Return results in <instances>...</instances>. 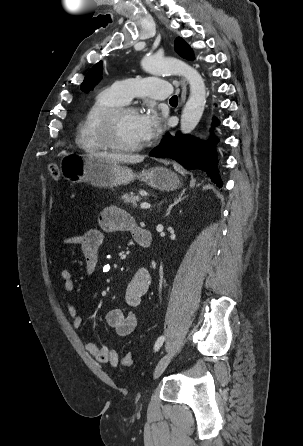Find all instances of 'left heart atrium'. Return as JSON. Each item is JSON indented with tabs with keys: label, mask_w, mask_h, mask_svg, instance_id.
<instances>
[{
	"label": "left heart atrium",
	"mask_w": 303,
	"mask_h": 446,
	"mask_svg": "<svg viewBox=\"0 0 303 446\" xmlns=\"http://www.w3.org/2000/svg\"><path fill=\"white\" fill-rule=\"evenodd\" d=\"M137 124L143 140L158 137L164 128L162 117L153 108L148 109L142 114H138Z\"/></svg>",
	"instance_id": "obj_1"
}]
</instances>
